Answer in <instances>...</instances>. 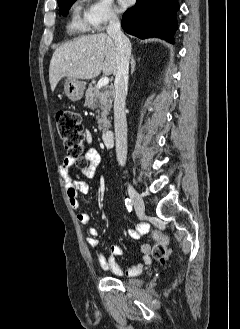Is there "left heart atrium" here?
Here are the masks:
<instances>
[{
    "label": "left heart atrium",
    "mask_w": 240,
    "mask_h": 329,
    "mask_svg": "<svg viewBox=\"0 0 240 329\" xmlns=\"http://www.w3.org/2000/svg\"><path fill=\"white\" fill-rule=\"evenodd\" d=\"M118 3L120 5V8L124 9L129 5L130 0H118Z\"/></svg>",
    "instance_id": "39dd6f15"
}]
</instances>
